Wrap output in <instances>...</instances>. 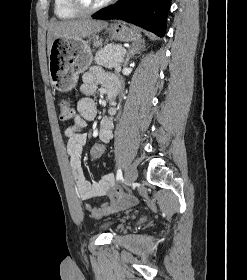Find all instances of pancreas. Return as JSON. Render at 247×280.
I'll return each mask as SVG.
<instances>
[{
	"label": "pancreas",
	"mask_w": 247,
	"mask_h": 280,
	"mask_svg": "<svg viewBox=\"0 0 247 280\" xmlns=\"http://www.w3.org/2000/svg\"><path fill=\"white\" fill-rule=\"evenodd\" d=\"M125 49L120 45L108 44L100 49L95 56V62L108 68H114L117 72L121 70V62L117 61L123 56Z\"/></svg>",
	"instance_id": "pancreas-1"
}]
</instances>
